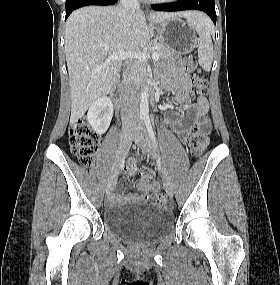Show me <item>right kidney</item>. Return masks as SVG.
<instances>
[{
    "instance_id": "right-kidney-1",
    "label": "right kidney",
    "mask_w": 280,
    "mask_h": 285,
    "mask_svg": "<svg viewBox=\"0 0 280 285\" xmlns=\"http://www.w3.org/2000/svg\"><path fill=\"white\" fill-rule=\"evenodd\" d=\"M113 117V104L112 101L102 96L95 100L87 113V121L91 125L92 129L97 134H103L109 128Z\"/></svg>"
}]
</instances>
